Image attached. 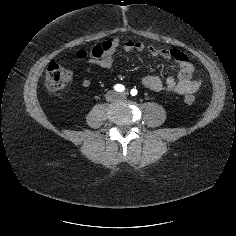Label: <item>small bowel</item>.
Segmentation results:
<instances>
[{
  "mask_svg": "<svg viewBox=\"0 0 236 236\" xmlns=\"http://www.w3.org/2000/svg\"><path fill=\"white\" fill-rule=\"evenodd\" d=\"M120 40L112 42V47L100 59H86V71L91 70L92 65H99L103 69H110L114 65V51L120 45ZM123 51L130 53L132 51H144L148 49L154 57L162 59H171L175 62L170 75L164 80L155 75H147L141 78L140 82L143 87L154 92H168L172 94L188 95L199 90L202 85L201 80L193 79L194 67L188 56L176 48H160L154 44L147 45L142 41L127 40L123 42ZM177 74L173 75L175 69ZM83 87H89L91 80L85 76L81 80Z\"/></svg>",
  "mask_w": 236,
  "mask_h": 236,
  "instance_id": "1",
  "label": "small bowel"
}]
</instances>
